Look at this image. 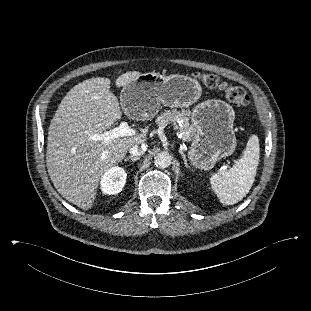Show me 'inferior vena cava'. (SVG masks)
I'll return each instance as SVG.
<instances>
[{"label":"inferior vena cava","instance_id":"obj_1","mask_svg":"<svg viewBox=\"0 0 311 311\" xmlns=\"http://www.w3.org/2000/svg\"><path fill=\"white\" fill-rule=\"evenodd\" d=\"M147 150V145L145 143L141 144V147L138 145H134L132 148H130L129 152L130 154L134 156H140Z\"/></svg>","mask_w":311,"mask_h":311}]
</instances>
